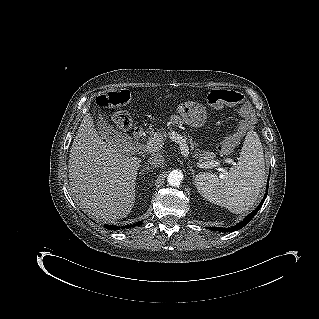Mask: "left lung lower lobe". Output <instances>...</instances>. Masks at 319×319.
Returning a JSON list of instances; mask_svg holds the SVG:
<instances>
[{"instance_id": "left-lung-lower-lobe-1", "label": "left lung lower lobe", "mask_w": 319, "mask_h": 319, "mask_svg": "<svg viewBox=\"0 0 319 319\" xmlns=\"http://www.w3.org/2000/svg\"><path fill=\"white\" fill-rule=\"evenodd\" d=\"M268 185H269V181L267 182V191L265 193V196H264L263 200L259 204V206L252 213H250L242 222H240L239 224H237V225H235L233 227H230V228L209 227V230L220 231V232H231V231H236V230H239V229L243 228L256 215V213L262 207V205H263V203H264V201H265V199L267 197Z\"/></svg>"}]
</instances>
